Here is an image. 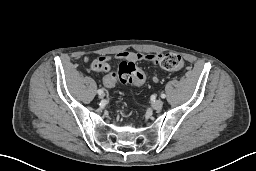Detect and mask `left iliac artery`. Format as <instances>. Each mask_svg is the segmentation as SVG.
Wrapping results in <instances>:
<instances>
[{"instance_id": "44dca946", "label": "left iliac artery", "mask_w": 256, "mask_h": 171, "mask_svg": "<svg viewBox=\"0 0 256 171\" xmlns=\"http://www.w3.org/2000/svg\"><path fill=\"white\" fill-rule=\"evenodd\" d=\"M166 95L164 93L161 94V98H165Z\"/></svg>"}]
</instances>
